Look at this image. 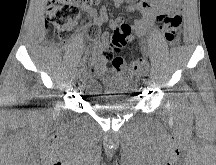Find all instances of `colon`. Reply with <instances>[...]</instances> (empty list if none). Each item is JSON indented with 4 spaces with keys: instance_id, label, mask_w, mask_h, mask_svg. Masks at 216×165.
<instances>
[{
    "instance_id": "5ec220e1",
    "label": "colon",
    "mask_w": 216,
    "mask_h": 165,
    "mask_svg": "<svg viewBox=\"0 0 216 165\" xmlns=\"http://www.w3.org/2000/svg\"><path fill=\"white\" fill-rule=\"evenodd\" d=\"M47 21L57 39L69 38L72 29L82 23L87 27L90 39L99 35V26L92 24L87 9L98 5L102 0H48ZM160 28L165 40L172 44L183 25V16L179 13H170L160 16ZM134 32L129 24L122 23L115 27L111 38V50L100 53H87V68L99 76H104L110 69L125 75L136 74L145 69L146 60L138 59L130 64L125 63L120 56L122 48L128 43Z\"/></svg>"
}]
</instances>
